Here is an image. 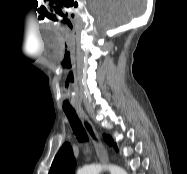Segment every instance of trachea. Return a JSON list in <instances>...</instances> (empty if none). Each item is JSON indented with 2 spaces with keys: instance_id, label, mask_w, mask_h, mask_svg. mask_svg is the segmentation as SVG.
<instances>
[{
  "instance_id": "1",
  "label": "trachea",
  "mask_w": 187,
  "mask_h": 174,
  "mask_svg": "<svg viewBox=\"0 0 187 174\" xmlns=\"http://www.w3.org/2000/svg\"><path fill=\"white\" fill-rule=\"evenodd\" d=\"M79 142L88 141L86 131L74 109H63Z\"/></svg>"
}]
</instances>
